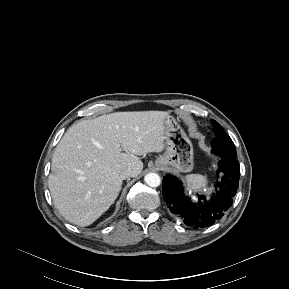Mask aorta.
I'll return each instance as SVG.
<instances>
[{
	"label": "aorta",
	"mask_w": 289,
	"mask_h": 289,
	"mask_svg": "<svg viewBox=\"0 0 289 289\" xmlns=\"http://www.w3.org/2000/svg\"><path fill=\"white\" fill-rule=\"evenodd\" d=\"M145 183L150 187H158L161 183L160 176L156 173H148L144 177Z\"/></svg>",
	"instance_id": "762f6f07"
}]
</instances>
